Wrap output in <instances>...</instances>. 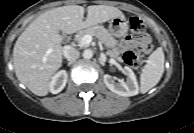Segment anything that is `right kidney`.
Wrapping results in <instances>:
<instances>
[{"label":"right kidney","mask_w":194,"mask_h":133,"mask_svg":"<svg viewBox=\"0 0 194 133\" xmlns=\"http://www.w3.org/2000/svg\"><path fill=\"white\" fill-rule=\"evenodd\" d=\"M67 79L68 75L65 70H61L55 74L50 82V92L53 94L61 92L67 83Z\"/></svg>","instance_id":"obj_1"}]
</instances>
